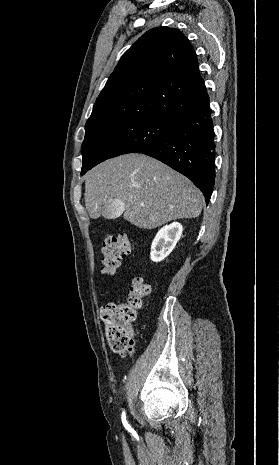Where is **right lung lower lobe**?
Masks as SVG:
<instances>
[{
	"label": "right lung lower lobe",
	"instance_id": "98d812e1",
	"mask_svg": "<svg viewBox=\"0 0 279 465\" xmlns=\"http://www.w3.org/2000/svg\"><path fill=\"white\" fill-rule=\"evenodd\" d=\"M140 153L188 177L203 192L208 204L215 182L216 155L209 99L178 116L165 137Z\"/></svg>",
	"mask_w": 279,
	"mask_h": 465
}]
</instances>
